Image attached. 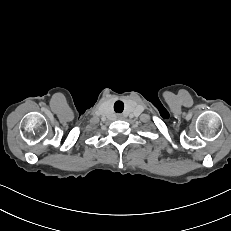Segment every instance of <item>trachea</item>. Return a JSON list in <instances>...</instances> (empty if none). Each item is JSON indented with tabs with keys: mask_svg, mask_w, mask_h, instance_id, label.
Masks as SVG:
<instances>
[{
	"mask_svg": "<svg viewBox=\"0 0 231 231\" xmlns=\"http://www.w3.org/2000/svg\"><path fill=\"white\" fill-rule=\"evenodd\" d=\"M124 109V104L122 101H117L114 104V110L115 112L121 113Z\"/></svg>",
	"mask_w": 231,
	"mask_h": 231,
	"instance_id": "obj_1",
	"label": "trachea"
}]
</instances>
